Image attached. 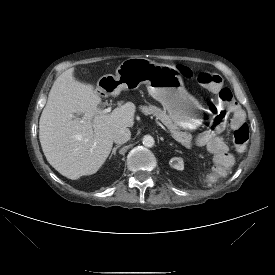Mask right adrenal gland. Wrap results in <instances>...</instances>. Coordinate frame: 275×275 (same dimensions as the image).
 <instances>
[{
	"label": "right adrenal gland",
	"mask_w": 275,
	"mask_h": 275,
	"mask_svg": "<svg viewBox=\"0 0 275 275\" xmlns=\"http://www.w3.org/2000/svg\"><path fill=\"white\" fill-rule=\"evenodd\" d=\"M118 148H120V145H116V146L112 149V153H111L109 159H111L113 155L115 156L116 150H117Z\"/></svg>",
	"instance_id": "2a0ac1e0"
}]
</instances>
